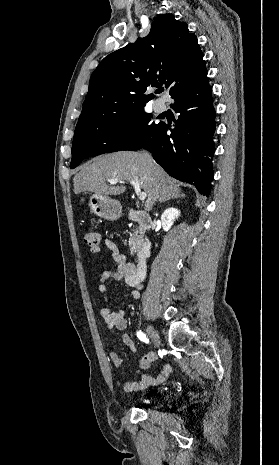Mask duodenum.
Here are the masks:
<instances>
[{
    "instance_id": "1",
    "label": "duodenum",
    "mask_w": 279,
    "mask_h": 465,
    "mask_svg": "<svg viewBox=\"0 0 279 465\" xmlns=\"http://www.w3.org/2000/svg\"><path fill=\"white\" fill-rule=\"evenodd\" d=\"M128 218L137 222L144 230L151 227L152 221L150 216L144 211L134 210L129 212ZM151 253V242L145 239L137 250L138 262L134 269L129 273L128 283L130 285H139L146 275V260Z\"/></svg>"
}]
</instances>
